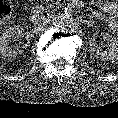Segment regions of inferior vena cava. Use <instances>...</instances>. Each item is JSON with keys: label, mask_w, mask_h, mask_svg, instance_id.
Segmentation results:
<instances>
[{"label": "inferior vena cava", "mask_w": 118, "mask_h": 118, "mask_svg": "<svg viewBox=\"0 0 118 118\" xmlns=\"http://www.w3.org/2000/svg\"><path fill=\"white\" fill-rule=\"evenodd\" d=\"M46 20V18L43 16V17H40L39 19H37L36 21H35V24L36 25H40V24H42L44 21Z\"/></svg>", "instance_id": "602c4592"}]
</instances>
